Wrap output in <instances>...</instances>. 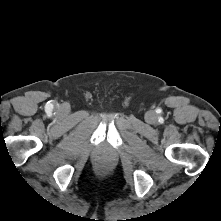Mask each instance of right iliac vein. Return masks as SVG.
Instances as JSON below:
<instances>
[{
	"label": "right iliac vein",
	"mask_w": 221,
	"mask_h": 221,
	"mask_svg": "<svg viewBox=\"0 0 221 221\" xmlns=\"http://www.w3.org/2000/svg\"><path fill=\"white\" fill-rule=\"evenodd\" d=\"M60 112L66 114L68 112L66 106H62Z\"/></svg>",
	"instance_id": "1"
}]
</instances>
